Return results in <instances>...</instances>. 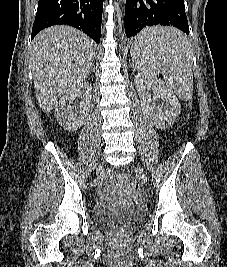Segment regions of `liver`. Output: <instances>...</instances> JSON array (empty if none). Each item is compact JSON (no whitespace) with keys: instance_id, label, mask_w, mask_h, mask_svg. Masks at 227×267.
<instances>
[{"instance_id":"1","label":"liver","mask_w":227,"mask_h":267,"mask_svg":"<svg viewBox=\"0 0 227 267\" xmlns=\"http://www.w3.org/2000/svg\"><path fill=\"white\" fill-rule=\"evenodd\" d=\"M30 60L36 99L48 114L62 95L89 75L95 61L94 42L73 27L52 26L34 38Z\"/></svg>"}]
</instances>
